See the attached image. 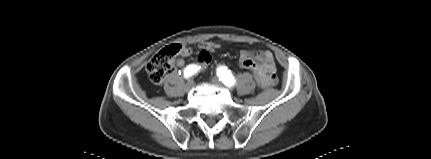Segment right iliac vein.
<instances>
[{
  "instance_id": "obj_1",
  "label": "right iliac vein",
  "mask_w": 431,
  "mask_h": 159,
  "mask_svg": "<svg viewBox=\"0 0 431 159\" xmlns=\"http://www.w3.org/2000/svg\"><path fill=\"white\" fill-rule=\"evenodd\" d=\"M194 86V82L193 81H188L185 85V91L189 92Z\"/></svg>"
}]
</instances>
